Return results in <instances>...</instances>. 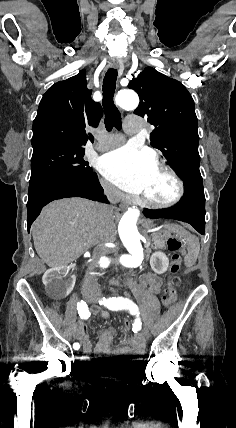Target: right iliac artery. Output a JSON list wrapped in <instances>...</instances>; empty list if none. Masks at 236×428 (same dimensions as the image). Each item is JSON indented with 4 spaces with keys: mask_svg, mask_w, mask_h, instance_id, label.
Returning <instances> with one entry per match:
<instances>
[{
    "mask_svg": "<svg viewBox=\"0 0 236 428\" xmlns=\"http://www.w3.org/2000/svg\"><path fill=\"white\" fill-rule=\"evenodd\" d=\"M77 310H78V314L81 317V319H88L90 316V312L88 310V306L86 304V302L82 301L77 303ZM73 348L75 350H78L80 348L79 343H74L73 344Z\"/></svg>",
    "mask_w": 236,
    "mask_h": 428,
    "instance_id": "82829eb1",
    "label": "right iliac artery"
}]
</instances>
